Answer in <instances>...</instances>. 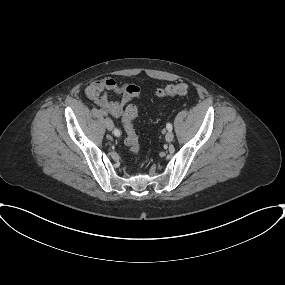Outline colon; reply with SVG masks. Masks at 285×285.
Masks as SVG:
<instances>
[{
  "mask_svg": "<svg viewBox=\"0 0 285 285\" xmlns=\"http://www.w3.org/2000/svg\"><path fill=\"white\" fill-rule=\"evenodd\" d=\"M188 92V86L185 83L170 84L156 91L158 97H168L175 95H185ZM138 109L135 105H129L123 116L122 125L126 132L125 144L133 154H139L141 151V143L136 133L133 121L138 117Z\"/></svg>",
  "mask_w": 285,
  "mask_h": 285,
  "instance_id": "1",
  "label": "colon"
}]
</instances>
